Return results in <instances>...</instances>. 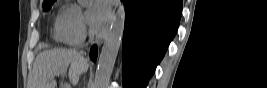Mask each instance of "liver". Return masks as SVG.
Listing matches in <instances>:
<instances>
[{"mask_svg":"<svg viewBox=\"0 0 267 88\" xmlns=\"http://www.w3.org/2000/svg\"><path fill=\"white\" fill-rule=\"evenodd\" d=\"M88 61L70 49H53L40 53L33 64L29 77V88H55L54 77L57 72L67 70L69 79L76 84L79 76L88 70Z\"/></svg>","mask_w":267,"mask_h":88,"instance_id":"liver-1","label":"liver"}]
</instances>
